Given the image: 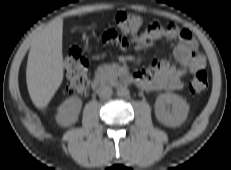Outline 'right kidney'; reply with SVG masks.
I'll use <instances>...</instances> for the list:
<instances>
[{
	"instance_id": "ca27d5eb",
	"label": "right kidney",
	"mask_w": 231,
	"mask_h": 170,
	"mask_svg": "<svg viewBox=\"0 0 231 170\" xmlns=\"http://www.w3.org/2000/svg\"><path fill=\"white\" fill-rule=\"evenodd\" d=\"M82 108V101L78 97L65 100L58 109L57 122L62 126L75 123Z\"/></svg>"
}]
</instances>
